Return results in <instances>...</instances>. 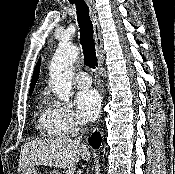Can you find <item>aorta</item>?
<instances>
[{
	"label": "aorta",
	"instance_id": "762f6f07",
	"mask_svg": "<svg viewBox=\"0 0 175 174\" xmlns=\"http://www.w3.org/2000/svg\"><path fill=\"white\" fill-rule=\"evenodd\" d=\"M79 55V48L73 44L60 43L51 64L50 78L54 93L67 104H71L72 66Z\"/></svg>",
	"mask_w": 175,
	"mask_h": 174
}]
</instances>
